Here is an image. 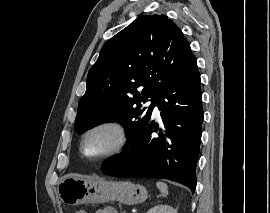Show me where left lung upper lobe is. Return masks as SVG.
<instances>
[{"mask_svg": "<svg viewBox=\"0 0 270 213\" xmlns=\"http://www.w3.org/2000/svg\"><path fill=\"white\" fill-rule=\"evenodd\" d=\"M195 63L188 41L171 19L140 16L102 47L87 76L75 129L82 133L117 121L127 129L128 139L136 137L149 122L156 97ZM148 100V110L141 109Z\"/></svg>", "mask_w": 270, "mask_h": 213, "instance_id": "obj_1", "label": "left lung upper lobe"}]
</instances>
